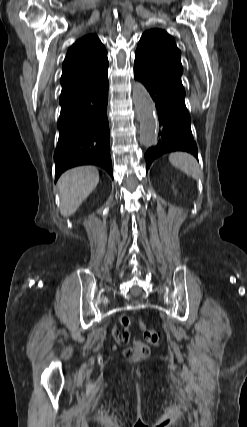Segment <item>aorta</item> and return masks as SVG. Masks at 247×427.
Wrapping results in <instances>:
<instances>
[{
  "label": "aorta",
  "mask_w": 247,
  "mask_h": 427,
  "mask_svg": "<svg viewBox=\"0 0 247 427\" xmlns=\"http://www.w3.org/2000/svg\"><path fill=\"white\" fill-rule=\"evenodd\" d=\"M133 102L140 122V139L146 147L156 144L158 138V120L155 104L142 83L133 86Z\"/></svg>",
  "instance_id": "obj_1"
}]
</instances>
